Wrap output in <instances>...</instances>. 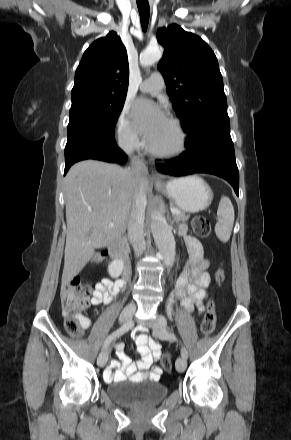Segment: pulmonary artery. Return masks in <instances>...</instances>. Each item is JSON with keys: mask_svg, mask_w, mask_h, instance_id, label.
Here are the masks:
<instances>
[{"mask_svg": "<svg viewBox=\"0 0 291 440\" xmlns=\"http://www.w3.org/2000/svg\"><path fill=\"white\" fill-rule=\"evenodd\" d=\"M165 85L164 78L160 73H153L140 84L142 92H156L161 90Z\"/></svg>", "mask_w": 291, "mask_h": 440, "instance_id": "1", "label": "pulmonary artery"}]
</instances>
